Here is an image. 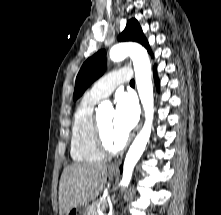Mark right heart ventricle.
Returning <instances> with one entry per match:
<instances>
[{
    "mask_svg": "<svg viewBox=\"0 0 221 215\" xmlns=\"http://www.w3.org/2000/svg\"><path fill=\"white\" fill-rule=\"evenodd\" d=\"M100 99L87 93L78 104L72 123L70 154L74 161L92 163L103 159L93 137L95 106Z\"/></svg>",
    "mask_w": 221,
    "mask_h": 215,
    "instance_id": "obj_1",
    "label": "right heart ventricle"
}]
</instances>
